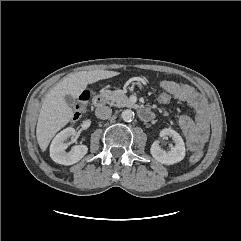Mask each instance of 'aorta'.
Listing matches in <instances>:
<instances>
[{"label": "aorta", "mask_w": 241, "mask_h": 241, "mask_svg": "<svg viewBox=\"0 0 241 241\" xmlns=\"http://www.w3.org/2000/svg\"><path fill=\"white\" fill-rule=\"evenodd\" d=\"M121 118L126 122H130L134 119V112L131 109L123 110L121 113Z\"/></svg>", "instance_id": "762f6f07"}]
</instances>
